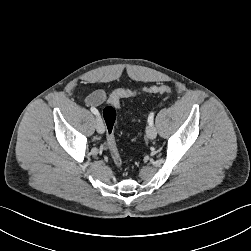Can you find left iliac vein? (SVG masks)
<instances>
[{
    "label": "left iliac vein",
    "instance_id": "obj_1",
    "mask_svg": "<svg viewBox=\"0 0 251 251\" xmlns=\"http://www.w3.org/2000/svg\"><path fill=\"white\" fill-rule=\"evenodd\" d=\"M146 135L149 139H155L157 136L156 128L153 125L147 126Z\"/></svg>",
    "mask_w": 251,
    "mask_h": 251
}]
</instances>
